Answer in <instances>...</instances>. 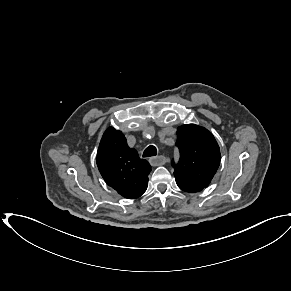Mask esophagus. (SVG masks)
I'll return each mask as SVG.
<instances>
[{
    "instance_id": "1",
    "label": "esophagus",
    "mask_w": 291,
    "mask_h": 291,
    "mask_svg": "<svg viewBox=\"0 0 291 291\" xmlns=\"http://www.w3.org/2000/svg\"><path fill=\"white\" fill-rule=\"evenodd\" d=\"M167 159L165 156H156V157H151L149 159V162L152 166H160V165H164L166 163Z\"/></svg>"
}]
</instances>
